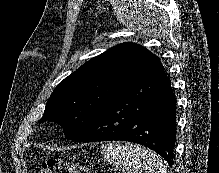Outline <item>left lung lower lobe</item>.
<instances>
[{
    "label": "left lung lower lobe",
    "mask_w": 219,
    "mask_h": 173,
    "mask_svg": "<svg viewBox=\"0 0 219 173\" xmlns=\"http://www.w3.org/2000/svg\"><path fill=\"white\" fill-rule=\"evenodd\" d=\"M171 81L152 54L140 76L107 105L75 141H131L156 151L170 166L176 141V106Z\"/></svg>",
    "instance_id": "1"
}]
</instances>
